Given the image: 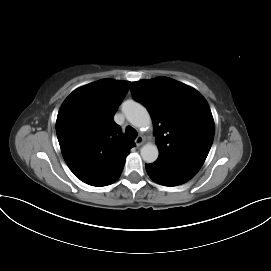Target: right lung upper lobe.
I'll return each mask as SVG.
<instances>
[{
	"label": "right lung upper lobe",
	"mask_w": 271,
	"mask_h": 271,
	"mask_svg": "<svg viewBox=\"0 0 271 271\" xmlns=\"http://www.w3.org/2000/svg\"><path fill=\"white\" fill-rule=\"evenodd\" d=\"M128 88L127 81L102 79L76 89L60 107L56 132L64 160L89 185L109 182L134 146L113 118Z\"/></svg>",
	"instance_id": "1"
}]
</instances>
